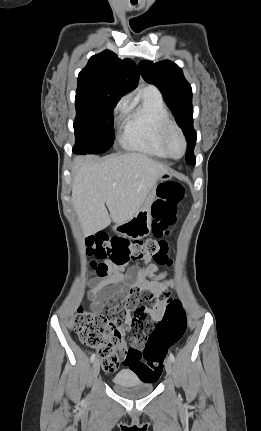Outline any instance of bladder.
I'll return each mask as SVG.
<instances>
[{"label": "bladder", "mask_w": 261, "mask_h": 431, "mask_svg": "<svg viewBox=\"0 0 261 431\" xmlns=\"http://www.w3.org/2000/svg\"><path fill=\"white\" fill-rule=\"evenodd\" d=\"M114 391L126 398H141L153 391V382L140 379L134 372L128 369L119 371L113 377Z\"/></svg>", "instance_id": "bladder-1"}]
</instances>
